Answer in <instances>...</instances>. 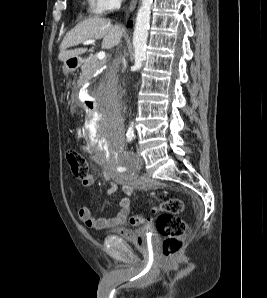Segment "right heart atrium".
Masks as SVG:
<instances>
[{
  "mask_svg": "<svg viewBox=\"0 0 267 298\" xmlns=\"http://www.w3.org/2000/svg\"><path fill=\"white\" fill-rule=\"evenodd\" d=\"M122 0H97V9L101 14L108 13L120 6Z\"/></svg>",
  "mask_w": 267,
  "mask_h": 298,
  "instance_id": "1",
  "label": "right heart atrium"
}]
</instances>
